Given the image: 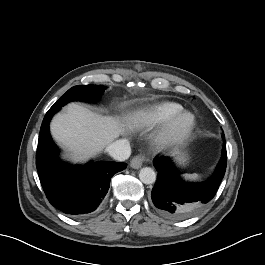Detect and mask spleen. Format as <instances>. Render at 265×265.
<instances>
[{"mask_svg": "<svg viewBox=\"0 0 265 265\" xmlns=\"http://www.w3.org/2000/svg\"><path fill=\"white\" fill-rule=\"evenodd\" d=\"M182 177L185 179V180H188V181H196L199 179L200 175L199 174H196V173H193V174H183Z\"/></svg>", "mask_w": 265, "mask_h": 265, "instance_id": "3e777b00", "label": "spleen"}]
</instances>
